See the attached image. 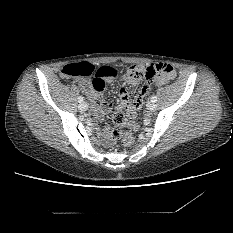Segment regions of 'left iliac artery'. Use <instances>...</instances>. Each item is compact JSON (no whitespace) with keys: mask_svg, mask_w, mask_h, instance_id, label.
I'll return each mask as SVG.
<instances>
[{"mask_svg":"<svg viewBox=\"0 0 233 233\" xmlns=\"http://www.w3.org/2000/svg\"><path fill=\"white\" fill-rule=\"evenodd\" d=\"M151 101H152V102H156V101H157V97H156V96H153V97L151 98Z\"/></svg>","mask_w":233,"mask_h":233,"instance_id":"obj_1","label":"left iliac artery"}]
</instances>
